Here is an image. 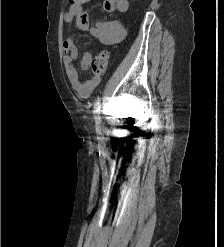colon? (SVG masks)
<instances>
[{
    "label": "colon",
    "instance_id": "obj_1",
    "mask_svg": "<svg viewBox=\"0 0 224 247\" xmlns=\"http://www.w3.org/2000/svg\"><path fill=\"white\" fill-rule=\"evenodd\" d=\"M85 0H69L70 7L84 6ZM109 55L106 51L97 54L91 62L90 69L94 75H101L105 72L108 65Z\"/></svg>",
    "mask_w": 224,
    "mask_h": 247
}]
</instances>
